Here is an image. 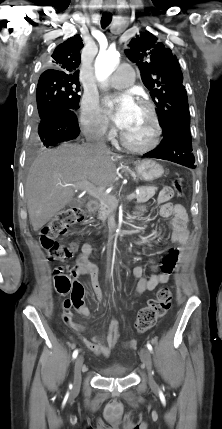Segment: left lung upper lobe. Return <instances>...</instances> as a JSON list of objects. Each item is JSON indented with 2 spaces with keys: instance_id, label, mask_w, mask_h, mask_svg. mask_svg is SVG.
I'll use <instances>...</instances> for the list:
<instances>
[{
  "instance_id": "obj_1",
  "label": "left lung upper lobe",
  "mask_w": 222,
  "mask_h": 429,
  "mask_svg": "<svg viewBox=\"0 0 222 429\" xmlns=\"http://www.w3.org/2000/svg\"><path fill=\"white\" fill-rule=\"evenodd\" d=\"M125 50L135 62L144 85L157 106L159 124L163 133L176 126H190L187 92L176 56L150 32L133 38Z\"/></svg>"
}]
</instances>
